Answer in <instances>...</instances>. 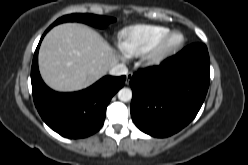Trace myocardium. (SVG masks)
Wrapping results in <instances>:
<instances>
[{
  "label": "myocardium",
  "instance_id": "myocardium-1",
  "mask_svg": "<svg viewBox=\"0 0 248 165\" xmlns=\"http://www.w3.org/2000/svg\"><path fill=\"white\" fill-rule=\"evenodd\" d=\"M173 37L177 40L170 43ZM184 36L181 32L173 30L163 35L144 55V61L148 66H158L173 56L182 47Z\"/></svg>",
  "mask_w": 248,
  "mask_h": 165
}]
</instances>
